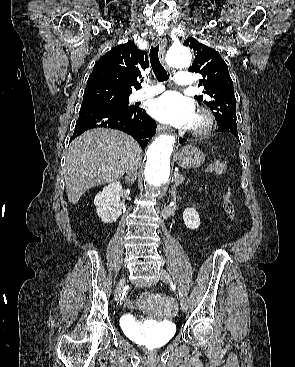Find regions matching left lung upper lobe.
I'll return each mask as SVG.
<instances>
[{
  "label": "left lung upper lobe",
  "instance_id": "obj_1",
  "mask_svg": "<svg viewBox=\"0 0 295 367\" xmlns=\"http://www.w3.org/2000/svg\"><path fill=\"white\" fill-rule=\"evenodd\" d=\"M184 45L195 53L189 71L201 74L199 86L203 85L205 89V96H195V99L203 101L210 108L218 125L230 123L237 126L236 99L227 64L215 49L199 43L192 37L186 39Z\"/></svg>",
  "mask_w": 295,
  "mask_h": 367
}]
</instances>
